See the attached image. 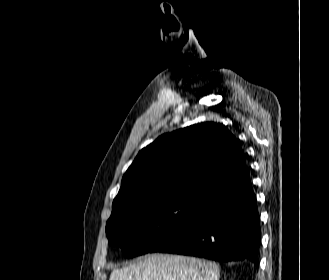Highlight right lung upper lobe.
Segmentation results:
<instances>
[{
    "instance_id": "obj_1",
    "label": "right lung upper lobe",
    "mask_w": 329,
    "mask_h": 280,
    "mask_svg": "<svg viewBox=\"0 0 329 280\" xmlns=\"http://www.w3.org/2000/svg\"><path fill=\"white\" fill-rule=\"evenodd\" d=\"M245 165L240 141L223 124H195L161 135L143 148L124 174L113 205L202 197L218 180Z\"/></svg>"
}]
</instances>
